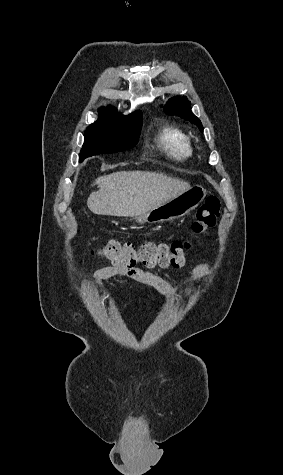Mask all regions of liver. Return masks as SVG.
I'll return each mask as SVG.
<instances>
[{
    "instance_id": "6515ba94",
    "label": "liver",
    "mask_w": 283,
    "mask_h": 475,
    "mask_svg": "<svg viewBox=\"0 0 283 475\" xmlns=\"http://www.w3.org/2000/svg\"><path fill=\"white\" fill-rule=\"evenodd\" d=\"M87 206L99 216H141L190 190V184L156 172H116L97 178Z\"/></svg>"
}]
</instances>
